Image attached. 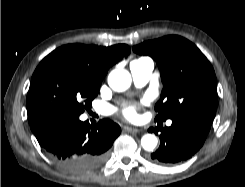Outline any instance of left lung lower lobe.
Listing matches in <instances>:
<instances>
[{"instance_id":"1","label":"left lung lower lobe","mask_w":245,"mask_h":187,"mask_svg":"<svg viewBox=\"0 0 245 187\" xmlns=\"http://www.w3.org/2000/svg\"><path fill=\"white\" fill-rule=\"evenodd\" d=\"M214 117L198 115L172 119V125L150 128L159 135L160 147L151 154L152 161L175 164L191 158L204 144Z\"/></svg>"}]
</instances>
